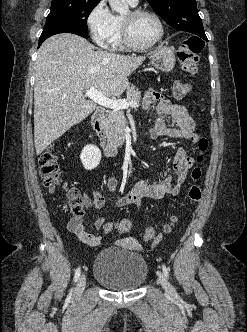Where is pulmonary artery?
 Segmentation results:
<instances>
[{
  "mask_svg": "<svg viewBox=\"0 0 247 332\" xmlns=\"http://www.w3.org/2000/svg\"><path fill=\"white\" fill-rule=\"evenodd\" d=\"M129 4L135 6L138 3V0H127Z\"/></svg>",
  "mask_w": 247,
  "mask_h": 332,
  "instance_id": "e3ab8cb5",
  "label": "pulmonary artery"
}]
</instances>
